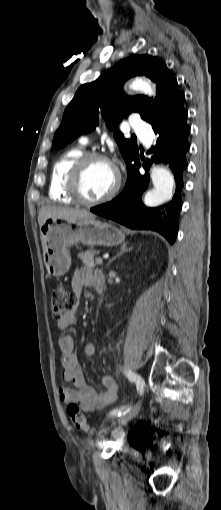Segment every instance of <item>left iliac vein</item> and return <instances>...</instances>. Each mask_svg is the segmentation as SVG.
Returning a JSON list of instances; mask_svg holds the SVG:
<instances>
[{
    "instance_id": "4c4485c4",
    "label": "left iliac vein",
    "mask_w": 221,
    "mask_h": 510,
    "mask_svg": "<svg viewBox=\"0 0 221 510\" xmlns=\"http://www.w3.org/2000/svg\"><path fill=\"white\" fill-rule=\"evenodd\" d=\"M140 408H141V400H139L128 412H126L121 417L117 418V422L119 424H126V423H128L130 420H132L134 417L137 416V414L140 411Z\"/></svg>"
}]
</instances>
